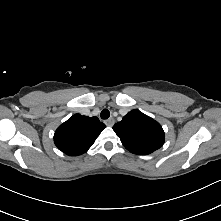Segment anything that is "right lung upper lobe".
Listing matches in <instances>:
<instances>
[{
  "mask_svg": "<svg viewBox=\"0 0 221 221\" xmlns=\"http://www.w3.org/2000/svg\"><path fill=\"white\" fill-rule=\"evenodd\" d=\"M105 127L97 117L75 114L57 128L54 142L65 154L77 156L92 146Z\"/></svg>",
  "mask_w": 221,
  "mask_h": 221,
  "instance_id": "1",
  "label": "right lung upper lobe"
}]
</instances>
